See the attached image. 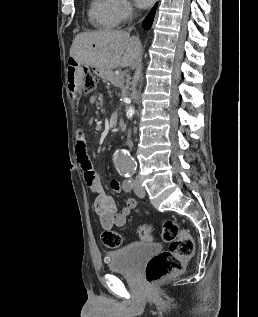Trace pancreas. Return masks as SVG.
<instances>
[{"mask_svg":"<svg viewBox=\"0 0 258 317\" xmlns=\"http://www.w3.org/2000/svg\"><path fill=\"white\" fill-rule=\"evenodd\" d=\"M110 83L115 84L118 89H124V84L122 83V79L120 77H111Z\"/></svg>","mask_w":258,"mask_h":317,"instance_id":"obj_1","label":"pancreas"}]
</instances>
